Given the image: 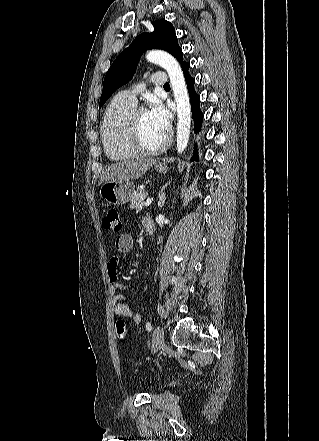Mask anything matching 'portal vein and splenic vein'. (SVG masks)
Returning <instances> with one entry per match:
<instances>
[{
	"mask_svg": "<svg viewBox=\"0 0 319 441\" xmlns=\"http://www.w3.org/2000/svg\"><path fill=\"white\" fill-rule=\"evenodd\" d=\"M152 202H153V198H149V199L146 200L144 205L145 206H149V205H151Z\"/></svg>",
	"mask_w": 319,
	"mask_h": 441,
	"instance_id": "18ae733b",
	"label": "portal vein and splenic vein"
}]
</instances>
